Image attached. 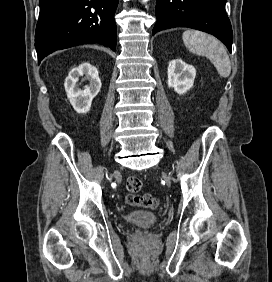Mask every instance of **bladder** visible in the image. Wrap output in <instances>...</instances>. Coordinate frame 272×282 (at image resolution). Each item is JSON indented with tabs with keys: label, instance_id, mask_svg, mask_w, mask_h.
I'll list each match as a JSON object with an SVG mask.
<instances>
[{
	"label": "bladder",
	"instance_id": "31cf9c89",
	"mask_svg": "<svg viewBox=\"0 0 272 282\" xmlns=\"http://www.w3.org/2000/svg\"><path fill=\"white\" fill-rule=\"evenodd\" d=\"M125 220L136 225L152 226L158 222L159 218L151 212L137 210L128 213Z\"/></svg>",
	"mask_w": 272,
	"mask_h": 282
}]
</instances>
